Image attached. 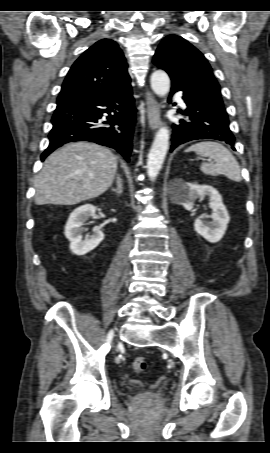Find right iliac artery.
I'll list each match as a JSON object with an SVG mask.
<instances>
[{"mask_svg":"<svg viewBox=\"0 0 270 453\" xmlns=\"http://www.w3.org/2000/svg\"><path fill=\"white\" fill-rule=\"evenodd\" d=\"M112 336H113V331H110L109 334H108V339L111 340Z\"/></svg>","mask_w":270,"mask_h":453,"instance_id":"right-iliac-artery-1","label":"right iliac artery"}]
</instances>
